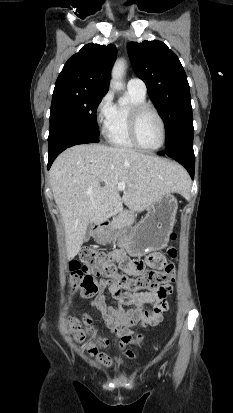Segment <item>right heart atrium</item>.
I'll list each match as a JSON object with an SVG mask.
<instances>
[{"label":"right heart atrium","instance_id":"right-heart-atrium-1","mask_svg":"<svg viewBox=\"0 0 233 413\" xmlns=\"http://www.w3.org/2000/svg\"><path fill=\"white\" fill-rule=\"evenodd\" d=\"M113 96L111 92H106L95 106L96 122L103 128L107 126L113 112Z\"/></svg>","mask_w":233,"mask_h":413}]
</instances>
